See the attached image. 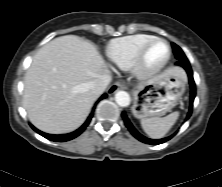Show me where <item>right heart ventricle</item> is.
Segmentation results:
<instances>
[{
  "label": "right heart ventricle",
  "instance_id": "right-heart-ventricle-1",
  "mask_svg": "<svg viewBox=\"0 0 222 187\" xmlns=\"http://www.w3.org/2000/svg\"><path fill=\"white\" fill-rule=\"evenodd\" d=\"M154 39L153 36L136 34L111 40L105 50L109 61L119 69H132L142 47Z\"/></svg>",
  "mask_w": 222,
  "mask_h": 187
}]
</instances>
